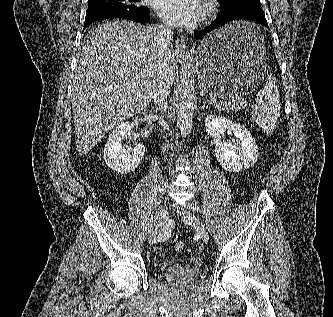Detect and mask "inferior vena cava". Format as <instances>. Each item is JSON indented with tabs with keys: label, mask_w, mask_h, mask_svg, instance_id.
<instances>
[{
	"label": "inferior vena cava",
	"mask_w": 333,
	"mask_h": 317,
	"mask_svg": "<svg viewBox=\"0 0 333 317\" xmlns=\"http://www.w3.org/2000/svg\"><path fill=\"white\" fill-rule=\"evenodd\" d=\"M153 35L158 41L159 49L161 51H166L170 45L173 38V31L171 27L167 25H159L152 28ZM170 93V81L165 73L159 72L153 83L152 98L154 100L155 106L161 111H166L167 109V97Z\"/></svg>",
	"instance_id": "obj_1"
}]
</instances>
